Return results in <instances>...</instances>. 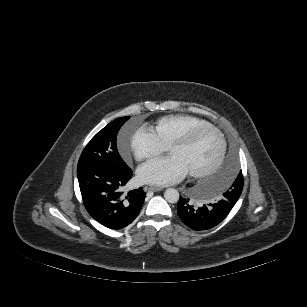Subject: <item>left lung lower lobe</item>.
I'll list each match as a JSON object with an SVG mask.
<instances>
[{
  "instance_id": "1",
  "label": "left lung lower lobe",
  "mask_w": 307,
  "mask_h": 307,
  "mask_svg": "<svg viewBox=\"0 0 307 307\" xmlns=\"http://www.w3.org/2000/svg\"><path fill=\"white\" fill-rule=\"evenodd\" d=\"M237 200L223 194L216 203L195 207L189 198L180 196L177 213L181 220L193 230H207L221 223L236 204Z\"/></svg>"
}]
</instances>
